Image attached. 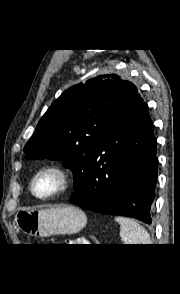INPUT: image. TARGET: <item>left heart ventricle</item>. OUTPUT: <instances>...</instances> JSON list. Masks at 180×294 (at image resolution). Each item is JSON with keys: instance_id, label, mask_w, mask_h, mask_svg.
Segmentation results:
<instances>
[{"instance_id": "left-heart-ventricle-1", "label": "left heart ventricle", "mask_w": 180, "mask_h": 294, "mask_svg": "<svg viewBox=\"0 0 180 294\" xmlns=\"http://www.w3.org/2000/svg\"><path fill=\"white\" fill-rule=\"evenodd\" d=\"M60 184L59 177L53 173H46L38 177L36 180L35 188L37 193L41 195H46L51 193Z\"/></svg>"}]
</instances>
